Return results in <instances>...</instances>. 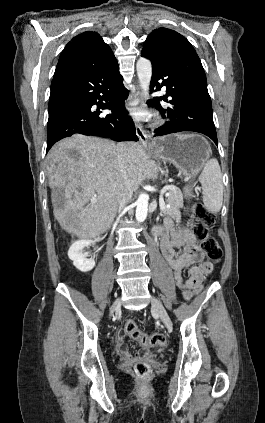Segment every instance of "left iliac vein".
<instances>
[{"instance_id":"1","label":"left iliac vein","mask_w":265,"mask_h":423,"mask_svg":"<svg viewBox=\"0 0 265 423\" xmlns=\"http://www.w3.org/2000/svg\"><path fill=\"white\" fill-rule=\"evenodd\" d=\"M151 303H152V308L158 312L160 319L165 324V326L168 329H172V321L167 311L165 310L164 306L162 305V303L155 297H152Z\"/></svg>"}]
</instances>
